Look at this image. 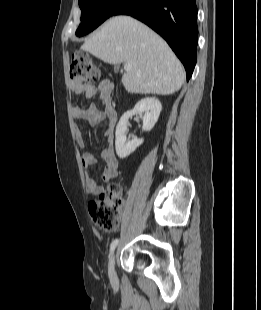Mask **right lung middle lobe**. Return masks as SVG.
<instances>
[{"mask_svg":"<svg viewBox=\"0 0 261 310\" xmlns=\"http://www.w3.org/2000/svg\"><path fill=\"white\" fill-rule=\"evenodd\" d=\"M128 0H79L81 24L76 35L83 36L97 28Z\"/></svg>","mask_w":261,"mask_h":310,"instance_id":"obj_1","label":"right lung middle lobe"}]
</instances>
